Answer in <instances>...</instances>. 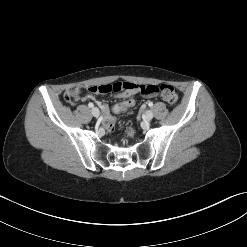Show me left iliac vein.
I'll return each mask as SVG.
<instances>
[{"label": "left iliac vein", "instance_id": "left-iliac-vein-1", "mask_svg": "<svg viewBox=\"0 0 247 247\" xmlns=\"http://www.w3.org/2000/svg\"><path fill=\"white\" fill-rule=\"evenodd\" d=\"M153 118V112L151 110H147L145 113V119L150 121Z\"/></svg>", "mask_w": 247, "mask_h": 247}]
</instances>
